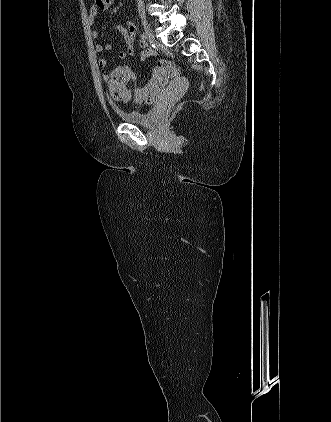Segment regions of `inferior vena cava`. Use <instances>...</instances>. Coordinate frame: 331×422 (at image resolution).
I'll use <instances>...</instances> for the list:
<instances>
[{
	"label": "inferior vena cava",
	"instance_id": "obj_1",
	"mask_svg": "<svg viewBox=\"0 0 331 422\" xmlns=\"http://www.w3.org/2000/svg\"><path fill=\"white\" fill-rule=\"evenodd\" d=\"M143 2L144 0H137L139 10L143 8Z\"/></svg>",
	"mask_w": 331,
	"mask_h": 422
}]
</instances>
